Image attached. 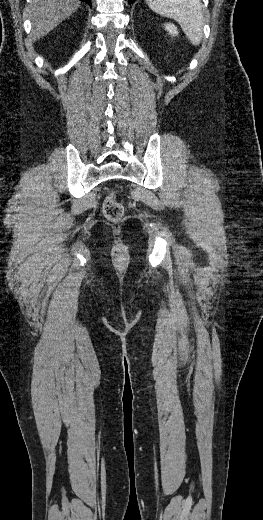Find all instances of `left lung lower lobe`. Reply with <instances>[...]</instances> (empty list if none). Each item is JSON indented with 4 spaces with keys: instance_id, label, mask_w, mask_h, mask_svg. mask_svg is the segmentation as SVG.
Here are the masks:
<instances>
[{
    "instance_id": "0a47b994",
    "label": "left lung lower lobe",
    "mask_w": 263,
    "mask_h": 520,
    "mask_svg": "<svg viewBox=\"0 0 263 520\" xmlns=\"http://www.w3.org/2000/svg\"><path fill=\"white\" fill-rule=\"evenodd\" d=\"M135 0H129V4L133 3Z\"/></svg>"
}]
</instances>
